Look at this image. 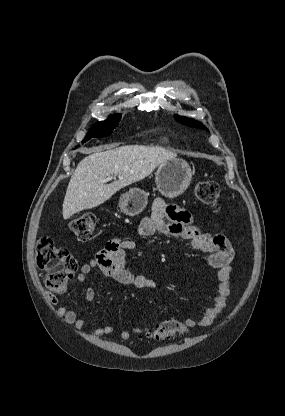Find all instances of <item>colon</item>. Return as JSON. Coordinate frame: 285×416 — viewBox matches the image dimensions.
Segmentation results:
<instances>
[{"mask_svg": "<svg viewBox=\"0 0 285 416\" xmlns=\"http://www.w3.org/2000/svg\"><path fill=\"white\" fill-rule=\"evenodd\" d=\"M195 197L203 204L217 206L220 191L214 181H199L194 187ZM96 224L92 214H85L70 221L68 228L81 242L91 239ZM36 259L39 269L45 273V284L48 290L61 294L66 291L69 282L77 270L76 259L68 250L48 237H40L36 244ZM187 327L175 320L167 319L156 329L144 334L157 341L174 339L186 333Z\"/></svg>", "mask_w": 285, "mask_h": 416, "instance_id": "1", "label": "colon"}]
</instances>
